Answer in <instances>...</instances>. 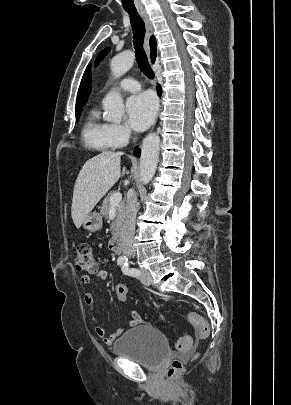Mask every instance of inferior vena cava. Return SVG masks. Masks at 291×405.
Listing matches in <instances>:
<instances>
[{
    "label": "inferior vena cava",
    "instance_id": "obj_1",
    "mask_svg": "<svg viewBox=\"0 0 291 405\" xmlns=\"http://www.w3.org/2000/svg\"><path fill=\"white\" fill-rule=\"evenodd\" d=\"M137 193L132 192L126 200V216L122 231V250L128 257H134L135 250L133 239L135 233V222L137 215Z\"/></svg>",
    "mask_w": 291,
    "mask_h": 405
}]
</instances>
